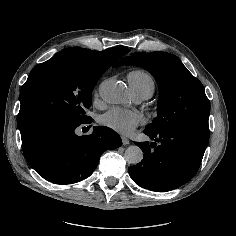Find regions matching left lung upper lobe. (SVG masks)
Here are the masks:
<instances>
[{
    "instance_id": "obj_1",
    "label": "left lung upper lobe",
    "mask_w": 236,
    "mask_h": 236,
    "mask_svg": "<svg viewBox=\"0 0 236 236\" xmlns=\"http://www.w3.org/2000/svg\"><path fill=\"white\" fill-rule=\"evenodd\" d=\"M135 65L148 70L156 79L160 92L157 117L145 129H192L209 133L210 102L202 83L182 62L166 52L133 53L113 67Z\"/></svg>"
}]
</instances>
